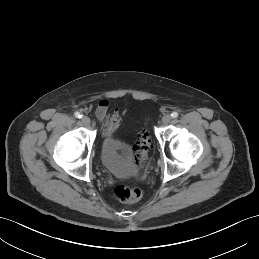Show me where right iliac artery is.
I'll return each instance as SVG.
<instances>
[{
	"instance_id": "82829eb1",
	"label": "right iliac artery",
	"mask_w": 259,
	"mask_h": 259,
	"mask_svg": "<svg viewBox=\"0 0 259 259\" xmlns=\"http://www.w3.org/2000/svg\"><path fill=\"white\" fill-rule=\"evenodd\" d=\"M74 115H75L76 118H81L82 117L81 113H79V112H75Z\"/></svg>"
}]
</instances>
